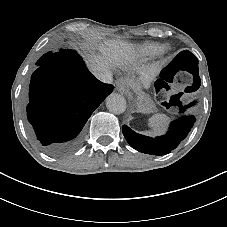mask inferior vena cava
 I'll return each mask as SVG.
<instances>
[{
  "label": "inferior vena cava",
  "instance_id": "602c4592",
  "mask_svg": "<svg viewBox=\"0 0 227 227\" xmlns=\"http://www.w3.org/2000/svg\"><path fill=\"white\" fill-rule=\"evenodd\" d=\"M95 77L106 84H112L113 83V77L111 72H96Z\"/></svg>",
  "mask_w": 227,
  "mask_h": 227
}]
</instances>
